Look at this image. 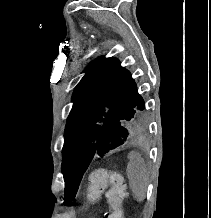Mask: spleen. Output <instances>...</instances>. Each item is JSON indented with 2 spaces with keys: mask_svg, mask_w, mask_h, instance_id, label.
<instances>
[{
  "mask_svg": "<svg viewBox=\"0 0 211 218\" xmlns=\"http://www.w3.org/2000/svg\"><path fill=\"white\" fill-rule=\"evenodd\" d=\"M126 174L129 180V186L137 200L143 202L147 190V168L143 158L136 152L129 154V164Z\"/></svg>",
  "mask_w": 211,
  "mask_h": 218,
  "instance_id": "1",
  "label": "spleen"
}]
</instances>
